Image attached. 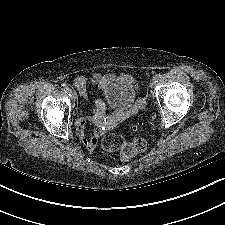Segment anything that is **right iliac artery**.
Masks as SVG:
<instances>
[{
  "label": "right iliac artery",
  "instance_id": "right-iliac-artery-1",
  "mask_svg": "<svg viewBox=\"0 0 225 225\" xmlns=\"http://www.w3.org/2000/svg\"><path fill=\"white\" fill-rule=\"evenodd\" d=\"M64 91L66 92V94L70 95L72 90L69 87H65Z\"/></svg>",
  "mask_w": 225,
  "mask_h": 225
}]
</instances>
